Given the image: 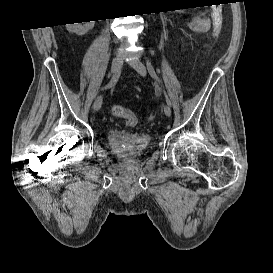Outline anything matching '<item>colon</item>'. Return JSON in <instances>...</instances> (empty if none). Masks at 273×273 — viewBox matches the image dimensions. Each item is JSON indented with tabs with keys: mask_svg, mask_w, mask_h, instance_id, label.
Wrapping results in <instances>:
<instances>
[{
	"mask_svg": "<svg viewBox=\"0 0 273 273\" xmlns=\"http://www.w3.org/2000/svg\"><path fill=\"white\" fill-rule=\"evenodd\" d=\"M221 31L222 24L219 17L214 15V37H219ZM112 113L114 116L123 119L128 126H135L138 123L136 115L121 105H114L112 107Z\"/></svg>",
	"mask_w": 273,
	"mask_h": 273,
	"instance_id": "obj_1",
	"label": "colon"
}]
</instances>
